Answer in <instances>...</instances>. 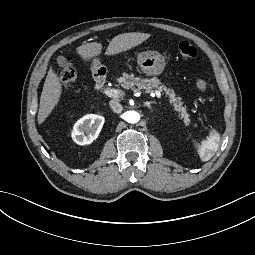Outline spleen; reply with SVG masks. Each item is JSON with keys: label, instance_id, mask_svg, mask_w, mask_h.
<instances>
[{"label": "spleen", "instance_id": "obj_1", "mask_svg": "<svg viewBox=\"0 0 255 255\" xmlns=\"http://www.w3.org/2000/svg\"><path fill=\"white\" fill-rule=\"evenodd\" d=\"M220 135L218 132L213 131L208 140L202 141L201 146L198 148V153L202 161L210 160L219 148Z\"/></svg>", "mask_w": 255, "mask_h": 255}]
</instances>
